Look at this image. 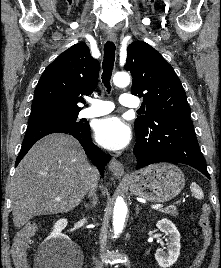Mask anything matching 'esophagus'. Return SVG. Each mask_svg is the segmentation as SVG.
Listing matches in <instances>:
<instances>
[{"instance_id": "esophagus-1", "label": "esophagus", "mask_w": 221, "mask_h": 268, "mask_svg": "<svg viewBox=\"0 0 221 268\" xmlns=\"http://www.w3.org/2000/svg\"><path fill=\"white\" fill-rule=\"evenodd\" d=\"M108 39L110 41H115L116 40L115 34H109ZM109 168H110L111 172L117 177H123L125 175L123 164L114 158L111 159L110 164H109Z\"/></svg>"}]
</instances>
